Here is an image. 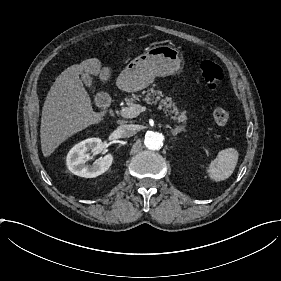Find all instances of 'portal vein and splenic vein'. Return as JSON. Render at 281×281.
Here are the masks:
<instances>
[{
    "label": "portal vein and splenic vein",
    "instance_id": "obj_1",
    "mask_svg": "<svg viewBox=\"0 0 281 281\" xmlns=\"http://www.w3.org/2000/svg\"><path fill=\"white\" fill-rule=\"evenodd\" d=\"M145 107L139 104H133L130 107L122 108L120 114L124 118H134L137 117L141 112L145 111ZM205 152H208V148H205ZM207 157H210L209 153H206Z\"/></svg>",
    "mask_w": 281,
    "mask_h": 281
}]
</instances>
